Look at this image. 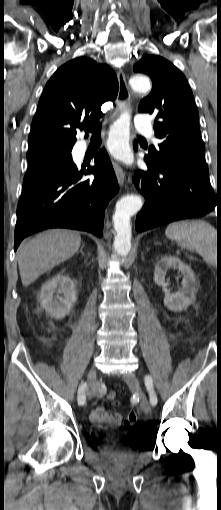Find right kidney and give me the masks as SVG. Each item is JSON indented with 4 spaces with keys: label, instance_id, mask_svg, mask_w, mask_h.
<instances>
[{
    "label": "right kidney",
    "instance_id": "right-kidney-1",
    "mask_svg": "<svg viewBox=\"0 0 221 510\" xmlns=\"http://www.w3.org/2000/svg\"><path fill=\"white\" fill-rule=\"evenodd\" d=\"M39 299L42 308L52 318L62 319L70 312L77 299L75 284L69 276L58 273L44 283Z\"/></svg>",
    "mask_w": 221,
    "mask_h": 510
}]
</instances>
